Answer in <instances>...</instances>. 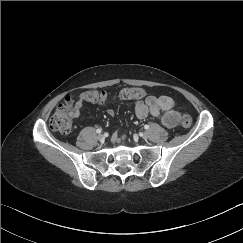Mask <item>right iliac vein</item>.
Returning <instances> with one entry per match:
<instances>
[{
    "mask_svg": "<svg viewBox=\"0 0 243 243\" xmlns=\"http://www.w3.org/2000/svg\"><path fill=\"white\" fill-rule=\"evenodd\" d=\"M97 139L100 140V141H102V140L104 139V136H103L102 134H99V135L97 136Z\"/></svg>",
    "mask_w": 243,
    "mask_h": 243,
    "instance_id": "right-iliac-vein-1",
    "label": "right iliac vein"
}]
</instances>
